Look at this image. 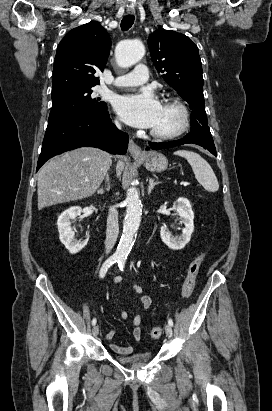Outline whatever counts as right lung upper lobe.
<instances>
[{
    "label": "right lung upper lobe",
    "mask_w": 272,
    "mask_h": 411,
    "mask_svg": "<svg viewBox=\"0 0 272 411\" xmlns=\"http://www.w3.org/2000/svg\"><path fill=\"white\" fill-rule=\"evenodd\" d=\"M110 47L107 31L97 22H89L69 31L57 48L52 98L99 85V78L94 74L103 71Z\"/></svg>",
    "instance_id": "cb5924a9"
}]
</instances>
